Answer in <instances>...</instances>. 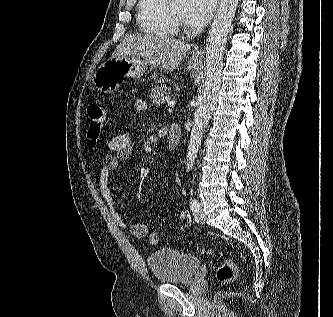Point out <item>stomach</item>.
I'll use <instances>...</instances> for the list:
<instances>
[{
	"instance_id": "0dacf381",
	"label": "stomach",
	"mask_w": 333,
	"mask_h": 317,
	"mask_svg": "<svg viewBox=\"0 0 333 317\" xmlns=\"http://www.w3.org/2000/svg\"><path fill=\"white\" fill-rule=\"evenodd\" d=\"M149 63L143 59L111 58L102 63L94 74V86L100 92L109 94L116 91L125 77L140 78L149 71ZM198 62H191L190 69L194 70Z\"/></svg>"
}]
</instances>
